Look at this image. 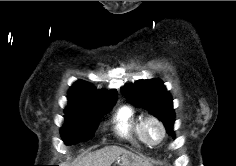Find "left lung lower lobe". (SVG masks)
<instances>
[{
    "mask_svg": "<svg viewBox=\"0 0 236 166\" xmlns=\"http://www.w3.org/2000/svg\"><path fill=\"white\" fill-rule=\"evenodd\" d=\"M169 134L174 137V132L170 131Z\"/></svg>",
    "mask_w": 236,
    "mask_h": 166,
    "instance_id": "obj_1",
    "label": "left lung lower lobe"
}]
</instances>
